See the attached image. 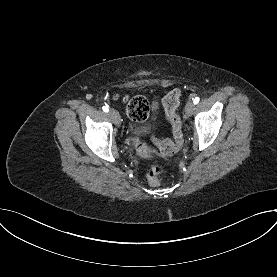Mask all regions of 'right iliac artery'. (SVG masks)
Returning <instances> with one entry per match:
<instances>
[{
	"mask_svg": "<svg viewBox=\"0 0 277 277\" xmlns=\"http://www.w3.org/2000/svg\"><path fill=\"white\" fill-rule=\"evenodd\" d=\"M102 109H103V111H104V112H108V111H109V109H108V107H107V106H103V108H102Z\"/></svg>",
	"mask_w": 277,
	"mask_h": 277,
	"instance_id": "82829eb1",
	"label": "right iliac artery"
}]
</instances>
